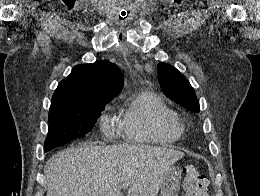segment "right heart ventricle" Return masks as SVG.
Segmentation results:
<instances>
[{
    "instance_id": "obj_1",
    "label": "right heart ventricle",
    "mask_w": 260,
    "mask_h": 196,
    "mask_svg": "<svg viewBox=\"0 0 260 196\" xmlns=\"http://www.w3.org/2000/svg\"><path fill=\"white\" fill-rule=\"evenodd\" d=\"M177 116L159 97L146 87L136 86L126 108L121 112L120 124L133 132L135 140L149 145H166L177 141L182 129ZM90 192H119V190H90Z\"/></svg>"
}]
</instances>
